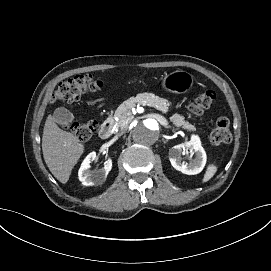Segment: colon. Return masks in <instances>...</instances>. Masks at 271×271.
Here are the masks:
<instances>
[{
    "mask_svg": "<svg viewBox=\"0 0 271 271\" xmlns=\"http://www.w3.org/2000/svg\"><path fill=\"white\" fill-rule=\"evenodd\" d=\"M103 85V81L93 74L77 75L61 82L52 99L57 102L72 103L77 101L84 93L99 90ZM215 99L214 91H204L188 105V109L195 115H201L213 104ZM97 127L98 124L95 121L81 120L67 126L81 142L89 141ZM209 139L215 145L229 143L231 141L229 120L226 118L216 120L210 131Z\"/></svg>",
    "mask_w": 271,
    "mask_h": 271,
    "instance_id": "colon-1",
    "label": "colon"
}]
</instances>
